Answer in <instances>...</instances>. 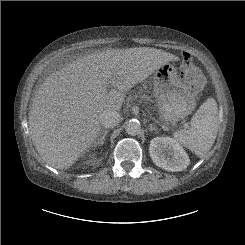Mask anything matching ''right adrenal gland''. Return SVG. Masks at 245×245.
<instances>
[{"label": "right adrenal gland", "mask_w": 245, "mask_h": 245, "mask_svg": "<svg viewBox=\"0 0 245 245\" xmlns=\"http://www.w3.org/2000/svg\"><path fill=\"white\" fill-rule=\"evenodd\" d=\"M108 132H109L108 130L100 131L97 141L94 143V148H96L97 146H102L104 144Z\"/></svg>", "instance_id": "2a0ac1e0"}]
</instances>
